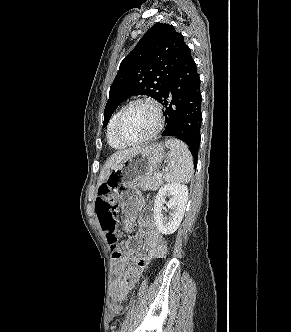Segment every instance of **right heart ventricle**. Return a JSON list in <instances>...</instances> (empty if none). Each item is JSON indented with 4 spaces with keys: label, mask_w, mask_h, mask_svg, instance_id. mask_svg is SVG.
Here are the masks:
<instances>
[{
    "label": "right heart ventricle",
    "mask_w": 291,
    "mask_h": 332,
    "mask_svg": "<svg viewBox=\"0 0 291 332\" xmlns=\"http://www.w3.org/2000/svg\"><path fill=\"white\" fill-rule=\"evenodd\" d=\"M120 110L117 111L112 118L110 119V122L108 124V129H107V140L109 145L114 148V149H123L127 146V144H124L121 142L115 134V122L117 119V116L119 114Z\"/></svg>",
    "instance_id": "right-heart-ventricle-1"
}]
</instances>
